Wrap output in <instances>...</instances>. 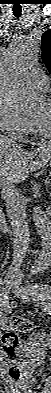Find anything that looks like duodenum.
Instances as JSON below:
<instances>
[{"label":"duodenum","instance_id":"duodenum-1","mask_svg":"<svg viewBox=\"0 0 51 393\" xmlns=\"http://www.w3.org/2000/svg\"><path fill=\"white\" fill-rule=\"evenodd\" d=\"M0 219H1V223H2V229L5 232L8 231L9 230V225L7 223V220H6V215L3 212L0 213Z\"/></svg>","mask_w":51,"mask_h":393}]
</instances>
